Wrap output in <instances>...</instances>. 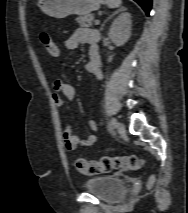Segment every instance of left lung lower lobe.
Listing matches in <instances>:
<instances>
[{
    "label": "left lung lower lobe",
    "instance_id": "0a47b994",
    "mask_svg": "<svg viewBox=\"0 0 188 213\" xmlns=\"http://www.w3.org/2000/svg\"><path fill=\"white\" fill-rule=\"evenodd\" d=\"M134 1H136L143 8V10L146 12L147 15H149L152 0H134Z\"/></svg>",
    "mask_w": 188,
    "mask_h": 213
}]
</instances>
